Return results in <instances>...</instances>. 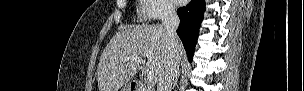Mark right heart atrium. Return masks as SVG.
Here are the masks:
<instances>
[{"mask_svg":"<svg viewBox=\"0 0 304 91\" xmlns=\"http://www.w3.org/2000/svg\"><path fill=\"white\" fill-rule=\"evenodd\" d=\"M142 13L147 20H156L170 16L173 7L168 0H142Z\"/></svg>","mask_w":304,"mask_h":91,"instance_id":"right-heart-atrium-1","label":"right heart atrium"}]
</instances>
